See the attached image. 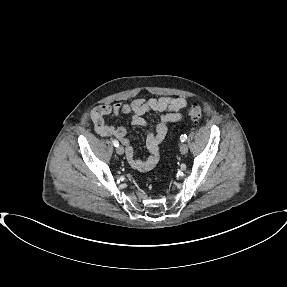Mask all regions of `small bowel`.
<instances>
[{"label":"small bowel","mask_w":287,"mask_h":287,"mask_svg":"<svg viewBox=\"0 0 287 287\" xmlns=\"http://www.w3.org/2000/svg\"><path fill=\"white\" fill-rule=\"evenodd\" d=\"M185 106L186 100L182 97L137 98L130 104L118 102L113 105L98 106L92 111L91 117L97 134L103 137L114 136L119 139L125 147L126 159L129 164L136 170L148 171L158 162L159 146L167 134L168 123L181 120L180 111ZM149 111L160 112L161 116L154 130L147 136L149 157L142 160L135 156L126 129L107 124L105 118L116 117L121 114L130 115L131 123L134 126L145 127L147 121L143 115Z\"/></svg>","instance_id":"1"}]
</instances>
